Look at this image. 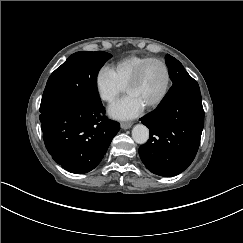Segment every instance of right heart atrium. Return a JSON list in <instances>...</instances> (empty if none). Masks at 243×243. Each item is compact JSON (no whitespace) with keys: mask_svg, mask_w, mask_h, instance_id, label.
<instances>
[{"mask_svg":"<svg viewBox=\"0 0 243 243\" xmlns=\"http://www.w3.org/2000/svg\"><path fill=\"white\" fill-rule=\"evenodd\" d=\"M94 86L98 98L105 102L116 100L125 91L108 65H101L97 69L94 76Z\"/></svg>","mask_w":243,"mask_h":243,"instance_id":"d8ad5b80","label":"right heart atrium"}]
</instances>
